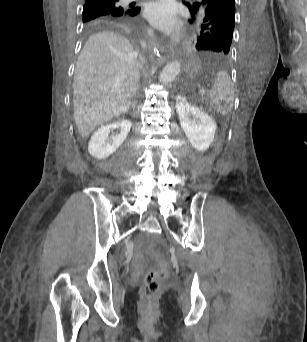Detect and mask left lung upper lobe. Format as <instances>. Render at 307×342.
Here are the masks:
<instances>
[{
	"instance_id": "left-lung-upper-lobe-1",
	"label": "left lung upper lobe",
	"mask_w": 307,
	"mask_h": 342,
	"mask_svg": "<svg viewBox=\"0 0 307 342\" xmlns=\"http://www.w3.org/2000/svg\"><path fill=\"white\" fill-rule=\"evenodd\" d=\"M191 23L197 27L196 49L229 55L235 26L234 0H202L186 3Z\"/></svg>"
}]
</instances>
